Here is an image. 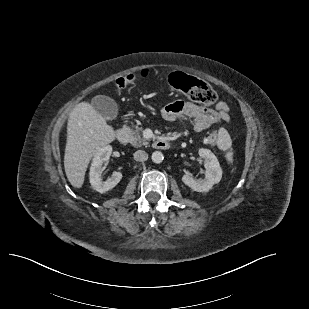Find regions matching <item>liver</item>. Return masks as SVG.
Masks as SVG:
<instances>
[{
  "mask_svg": "<svg viewBox=\"0 0 309 309\" xmlns=\"http://www.w3.org/2000/svg\"><path fill=\"white\" fill-rule=\"evenodd\" d=\"M115 137L113 127L90 103L81 102L74 107L68 119L64 155L65 173L73 187H82L91 158Z\"/></svg>",
  "mask_w": 309,
  "mask_h": 309,
  "instance_id": "6515ba94",
  "label": "liver"
}]
</instances>
